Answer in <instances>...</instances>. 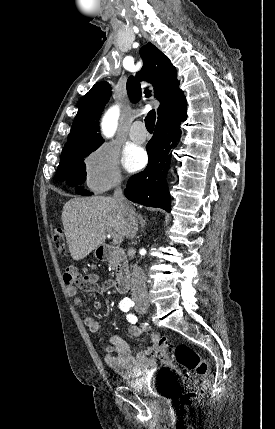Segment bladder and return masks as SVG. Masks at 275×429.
I'll use <instances>...</instances> for the list:
<instances>
[{
  "instance_id": "1",
  "label": "bladder",
  "mask_w": 275,
  "mask_h": 429,
  "mask_svg": "<svg viewBox=\"0 0 275 429\" xmlns=\"http://www.w3.org/2000/svg\"><path fill=\"white\" fill-rule=\"evenodd\" d=\"M128 386L138 398H151V403H176L179 398L176 377L131 378Z\"/></svg>"
}]
</instances>
